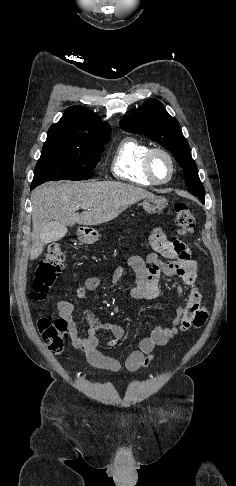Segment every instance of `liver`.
<instances>
[{"mask_svg":"<svg viewBox=\"0 0 236 486\" xmlns=\"http://www.w3.org/2000/svg\"><path fill=\"white\" fill-rule=\"evenodd\" d=\"M140 187L120 182H48L37 187L32 201V247L30 259H37L48 243V224L54 220L67 226L100 225L115 219L130 205L153 197ZM81 208V214L76 211Z\"/></svg>","mask_w":236,"mask_h":486,"instance_id":"1","label":"liver"}]
</instances>
